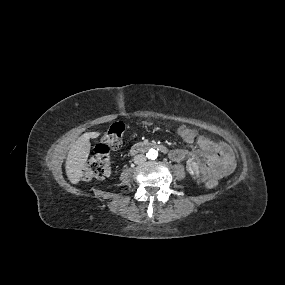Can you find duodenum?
Returning a JSON list of instances; mask_svg holds the SVG:
<instances>
[{
	"label": "duodenum",
	"mask_w": 285,
	"mask_h": 285,
	"mask_svg": "<svg viewBox=\"0 0 285 285\" xmlns=\"http://www.w3.org/2000/svg\"><path fill=\"white\" fill-rule=\"evenodd\" d=\"M151 148H155V149H157L163 153H165L167 151V148L162 144L140 142V143H137L134 146H132V148L130 149V153L136 154V153L143 152V151L151 149Z\"/></svg>",
	"instance_id": "1"
}]
</instances>
